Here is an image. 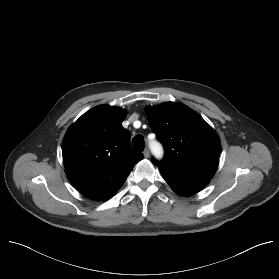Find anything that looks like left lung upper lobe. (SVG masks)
I'll return each mask as SVG.
<instances>
[{"mask_svg": "<svg viewBox=\"0 0 279 279\" xmlns=\"http://www.w3.org/2000/svg\"><path fill=\"white\" fill-rule=\"evenodd\" d=\"M146 115L165 148L164 159H153L154 164L186 178L209 181L213 177L219 163L220 139L200 115L173 102L149 106Z\"/></svg>", "mask_w": 279, "mask_h": 279, "instance_id": "1", "label": "left lung upper lobe"}]
</instances>
